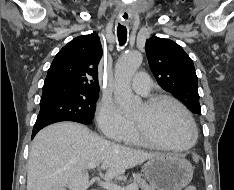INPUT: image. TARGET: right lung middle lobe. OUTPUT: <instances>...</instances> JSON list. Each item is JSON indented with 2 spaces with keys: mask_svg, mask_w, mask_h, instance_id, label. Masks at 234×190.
Instances as JSON below:
<instances>
[{
  "mask_svg": "<svg viewBox=\"0 0 234 190\" xmlns=\"http://www.w3.org/2000/svg\"><path fill=\"white\" fill-rule=\"evenodd\" d=\"M98 92L61 86L43 87L40 112L33 130L60 121L91 124Z\"/></svg>",
  "mask_w": 234,
  "mask_h": 190,
  "instance_id": "right-lung-middle-lobe-1",
  "label": "right lung middle lobe"
}]
</instances>
